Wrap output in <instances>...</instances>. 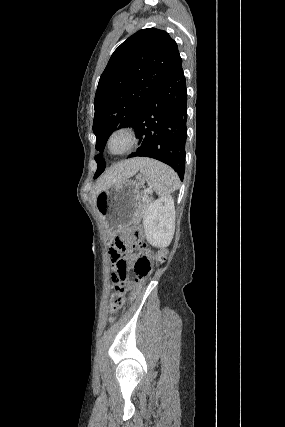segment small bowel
Listing matches in <instances>:
<instances>
[{
	"instance_id": "obj_1",
	"label": "small bowel",
	"mask_w": 285,
	"mask_h": 427,
	"mask_svg": "<svg viewBox=\"0 0 285 427\" xmlns=\"http://www.w3.org/2000/svg\"><path fill=\"white\" fill-rule=\"evenodd\" d=\"M110 253H111V256H112V258H111V261H112V263H113V265H114V267H115V272H114V274H118V269H117V267H116V262H118L119 260H125L126 259V255H117V254H113L114 253V249L112 248L111 250H110Z\"/></svg>"
}]
</instances>
